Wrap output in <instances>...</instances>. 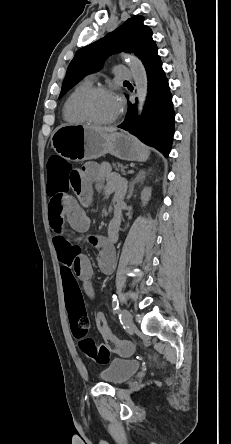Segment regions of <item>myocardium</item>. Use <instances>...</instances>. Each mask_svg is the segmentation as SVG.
<instances>
[{"instance_id": "myocardium-1", "label": "myocardium", "mask_w": 231, "mask_h": 444, "mask_svg": "<svg viewBox=\"0 0 231 444\" xmlns=\"http://www.w3.org/2000/svg\"><path fill=\"white\" fill-rule=\"evenodd\" d=\"M101 93L112 94V90L110 88L104 87V86L91 87L81 97L80 102H79V111H80L81 115L87 120V122H90L92 124L101 125V126L114 124L118 121V119L120 117V111L118 112V114L114 118H112L110 120H106V121H99V120L95 119L91 113L90 102L95 95L101 94Z\"/></svg>"}]
</instances>
